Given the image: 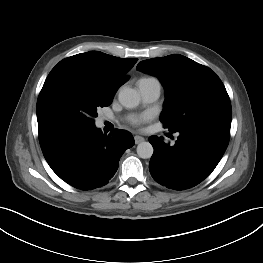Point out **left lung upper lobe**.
I'll use <instances>...</instances> for the list:
<instances>
[{
    "label": "left lung upper lobe",
    "instance_id": "5c2ea615",
    "mask_svg": "<svg viewBox=\"0 0 263 263\" xmlns=\"http://www.w3.org/2000/svg\"><path fill=\"white\" fill-rule=\"evenodd\" d=\"M137 69L158 77L163 84L166 97L160 121L170 132L206 120L231 126L229 96L210 68L173 54L141 61Z\"/></svg>",
    "mask_w": 263,
    "mask_h": 263
}]
</instances>
